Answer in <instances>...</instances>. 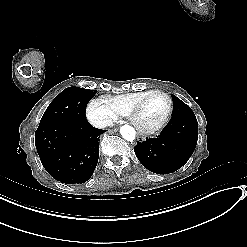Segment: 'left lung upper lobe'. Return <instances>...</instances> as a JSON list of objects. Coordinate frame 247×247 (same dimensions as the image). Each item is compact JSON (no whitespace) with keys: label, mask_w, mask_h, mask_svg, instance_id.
<instances>
[{"label":"left lung upper lobe","mask_w":247,"mask_h":247,"mask_svg":"<svg viewBox=\"0 0 247 247\" xmlns=\"http://www.w3.org/2000/svg\"><path fill=\"white\" fill-rule=\"evenodd\" d=\"M173 99V116L179 115V114H186V113H193L191 108L186 105L183 101H181L179 98H177L174 95H171Z\"/></svg>","instance_id":"left-lung-upper-lobe-1"}]
</instances>
